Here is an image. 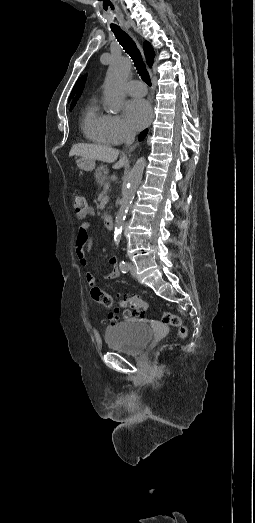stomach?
I'll return each instance as SVG.
<instances>
[{"instance_id":"obj_1","label":"stomach","mask_w":255,"mask_h":523,"mask_svg":"<svg viewBox=\"0 0 255 523\" xmlns=\"http://www.w3.org/2000/svg\"><path fill=\"white\" fill-rule=\"evenodd\" d=\"M76 164L84 172H92L95 168L94 160H85V158H79V160H76Z\"/></svg>"}]
</instances>
